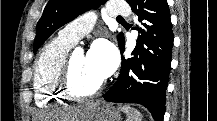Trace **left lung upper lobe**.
<instances>
[{"label": "left lung upper lobe", "mask_w": 217, "mask_h": 121, "mask_svg": "<svg viewBox=\"0 0 217 121\" xmlns=\"http://www.w3.org/2000/svg\"><path fill=\"white\" fill-rule=\"evenodd\" d=\"M106 1L107 0H50L37 23L36 37L33 46L34 52H36L58 28L88 10L97 9ZM122 37L123 34L121 33L118 37V42Z\"/></svg>", "instance_id": "5c2ea615"}]
</instances>
